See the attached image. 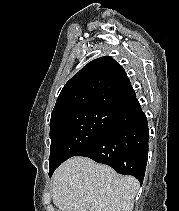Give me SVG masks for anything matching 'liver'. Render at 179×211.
I'll list each match as a JSON object with an SVG mask.
<instances>
[{
    "label": "liver",
    "instance_id": "6515ba94",
    "mask_svg": "<svg viewBox=\"0 0 179 211\" xmlns=\"http://www.w3.org/2000/svg\"><path fill=\"white\" fill-rule=\"evenodd\" d=\"M52 200L59 211H132L140 187L132 176L86 157H72L52 176Z\"/></svg>",
    "mask_w": 179,
    "mask_h": 211
}]
</instances>
